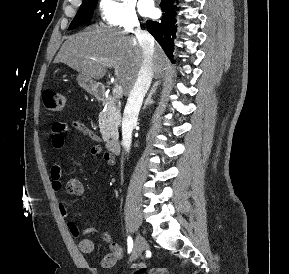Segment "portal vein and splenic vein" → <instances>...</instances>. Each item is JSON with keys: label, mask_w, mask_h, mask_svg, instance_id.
<instances>
[{"label": "portal vein and splenic vein", "mask_w": 289, "mask_h": 274, "mask_svg": "<svg viewBox=\"0 0 289 274\" xmlns=\"http://www.w3.org/2000/svg\"><path fill=\"white\" fill-rule=\"evenodd\" d=\"M112 66H113V65H111V64L108 65V67H112ZM112 93H113V95H114L116 98L121 97L122 94H123V87H122V85L115 84Z\"/></svg>", "instance_id": "portal-vein-and-splenic-vein-1"}]
</instances>
